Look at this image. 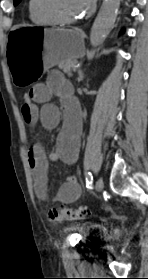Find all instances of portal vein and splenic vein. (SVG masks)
Instances as JSON below:
<instances>
[{
	"label": "portal vein and splenic vein",
	"mask_w": 148,
	"mask_h": 279,
	"mask_svg": "<svg viewBox=\"0 0 148 279\" xmlns=\"http://www.w3.org/2000/svg\"><path fill=\"white\" fill-rule=\"evenodd\" d=\"M76 69V67L75 66H73V70H75Z\"/></svg>",
	"instance_id": "18ae733b"
}]
</instances>
